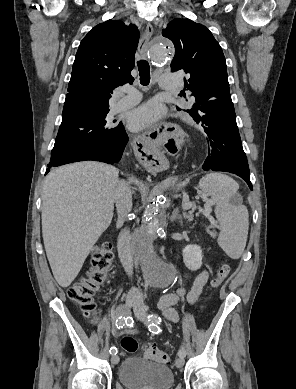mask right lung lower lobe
Listing matches in <instances>:
<instances>
[{"instance_id": "right-lung-lower-lobe-1", "label": "right lung lower lobe", "mask_w": 296, "mask_h": 389, "mask_svg": "<svg viewBox=\"0 0 296 389\" xmlns=\"http://www.w3.org/2000/svg\"><path fill=\"white\" fill-rule=\"evenodd\" d=\"M127 142L128 136L124 129L121 137L116 141L82 147L75 152H67L51 156V161L48 167L51 168L67 163L86 160L100 161L108 164L116 163L121 159ZM48 172L49 169H47L46 173Z\"/></svg>"}]
</instances>
